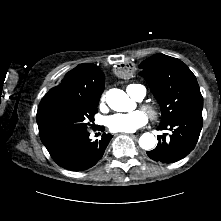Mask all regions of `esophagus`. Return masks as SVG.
Returning <instances> with one entry per match:
<instances>
[{"instance_id":"1","label":"esophagus","mask_w":221,"mask_h":221,"mask_svg":"<svg viewBox=\"0 0 221 221\" xmlns=\"http://www.w3.org/2000/svg\"><path fill=\"white\" fill-rule=\"evenodd\" d=\"M125 134H127V133H125ZM118 135H121V133H120V134H119V133L114 134V136H118ZM129 136H131V137H135V135L130 134V133H129Z\"/></svg>"}]
</instances>
